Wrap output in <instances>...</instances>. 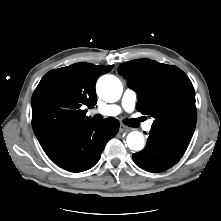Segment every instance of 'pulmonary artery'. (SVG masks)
I'll list each match as a JSON object with an SVG mask.
<instances>
[{"label":"pulmonary artery","instance_id":"1","mask_svg":"<svg viewBox=\"0 0 221 221\" xmlns=\"http://www.w3.org/2000/svg\"><path fill=\"white\" fill-rule=\"evenodd\" d=\"M136 100H137L136 92L131 88H127L122 96V101H121L122 108L125 109L126 111H132L135 107ZM95 111L102 115L115 116L119 114L121 108L118 105H105L103 107L96 109ZM151 127H152V121H149L144 125V129L146 131H149Z\"/></svg>","mask_w":221,"mask_h":221}]
</instances>
